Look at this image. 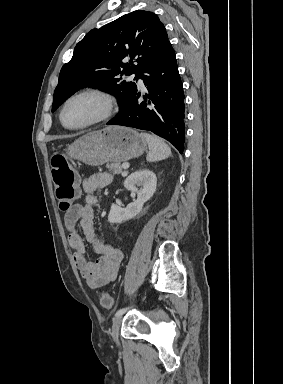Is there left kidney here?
Returning a JSON list of instances; mask_svg holds the SVG:
<instances>
[{
  "mask_svg": "<svg viewBox=\"0 0 283 384\" xmlns=\"http://www.w3.org/2000/svg\"><path fill=\"white\" fill-rule=\"evenodd\" d=\"M126 190L136 192L137 200L128 204L127 208H120L117 204H112L111 210L108 214V222L110 224H122L126 220L135 218L137 214H140L143 204L152 198L154 192H156L157 178L150 170H139L134 172L126 178L124 182ZM141 186V188H138Z\"/></svg>",
  "mask_w": 283,
  "mask_h": 384,
  "instance_id": "obj_1",
  "label": "left kidney"
}]
</instances>
